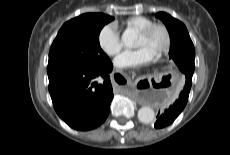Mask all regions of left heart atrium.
Returning a JSON list of instances; mask_svg holds the SVG:
<instances>
[{
    "mask_svg": "<svg viewBox=\"0 0 230 155\" xmlns=\"http://www.w3.org/2000/svg\"><path fill=\"white\" fill-rule=\"evenodd\" d=\"M152 51L143 46L136 50H128L121 53L114 61L118 68H134L145 65L154 59Z\"/></svg>",
    "mask_w": 230,
    "mask_h": 155,
    "instance_id": "obj_1",
    "label": "left heart atrium"
}]
</instances>
